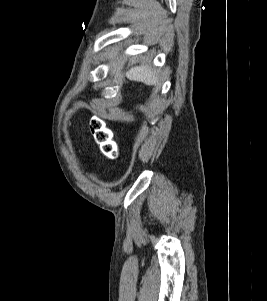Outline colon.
I'll return each instance as SVG.
<instances>
[{
  "label": "colon",
  "instance_id": "5ec220e1",
  "mask_svg": "<svg viewBox=\"0 0 267 301\" xmlns=\"http://www.w3.org/2000/svg\"><path fill=\"white\" fill-rule=\"evenodd\" d=\"M90 130L101 152L110 159H116L119 153L118 144L107 123L100 118H93L90 121Z\"/></svg>",
  "mask_w": 267,
  "mask_h": 301
}]
</instances>
